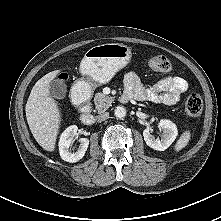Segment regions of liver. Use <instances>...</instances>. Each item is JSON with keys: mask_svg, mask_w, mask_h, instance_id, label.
Wrapping results in <instances>:
<instances>
[{"mask_svg": "<svg viewBox=\"0 0 221 221\" xmlns=\"http://www.w3.org/2000/svg\"><path fill=\"white\" fill-rule=\"evenodd\" d=\"M60 73L49 72L33 86L26 103V118L37 143L46 151L55 150L61 122L58 104L50 96V82Z\"/></svg>", "mask_w": 221, "mask_h": 221, "instance_id": "6515ba94", "label": "liver"}]
</instances>
